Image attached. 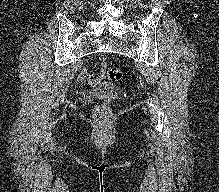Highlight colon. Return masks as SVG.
<instances>
[{"label": "colon", "instance_id": "obj_1", "mask_svg": "<svg viewBox=\"0 0 219 192\" xmlns=\"http://www.w3.org/2000/svg\"><path fill=\"white\" fill-rule=\"evenodd\" d=\"M107 77L111 81H119L123 77V73L119 68L111 67L107 70ZM110 108L108 104L102 103L95 106L93 110V118L100 126L106 125L109 120Z\"/></svg>", "mask_w": 219, "mask_h": 192}]
</instances>
